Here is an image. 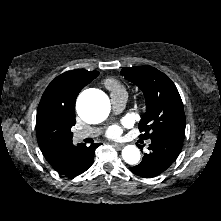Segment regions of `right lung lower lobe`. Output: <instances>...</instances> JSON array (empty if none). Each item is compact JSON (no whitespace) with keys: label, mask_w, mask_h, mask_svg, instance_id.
<instances>
[{"label":"right lung lower lobe","mask_w":221,"mask_h":221,"mask_svg":"<svg viewBox=\"0 0 221 221\" xmlns=\"http://www.w3.org/2000/svg\"><path fill=\"white\" fill-rule=\"evenodd\" d=\"M100 143L87 147L85 144L72 146L61 152V158L50 164L59 174L75 177L85 172L93 164L95 149Z\"/></svg>","instance_id":"1"}]
</instances>
